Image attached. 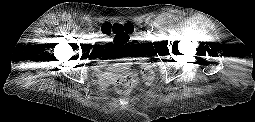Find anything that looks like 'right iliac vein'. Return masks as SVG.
Returning <instances> with one entry per match:
<instances>
[{
	"instance_id": "63e3f726",
	"label": "right iliac vein",
	"mask_w": 255,
	"mask_h": 122,
	"mask_svg": "<svg viewBox=\"0 0 255 122\" xmlns=\"http://www.w3.org/2000/svg\"><path fill=\"white\" fill-rule=\"evenodd\" d=\"M92 36L93 37H97L98 35L96 33H92Z\"/></svg>"
}]
</instances>
